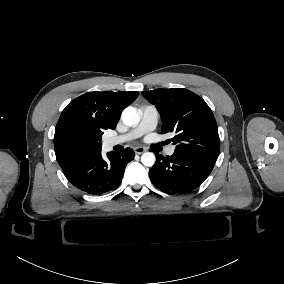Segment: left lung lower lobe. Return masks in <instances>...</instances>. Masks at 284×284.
<instances>
[{
    "label": "left lung lower lobe",
    "mask_w": 284,
    "mask_h": 284,
    "mask_svg": "<svg viewBox=\"0 0 284 284\" xmlns=\"http://www.w3.org/2000/svg\"><path fill=\"white\" fill-rule=\"evenodd\" d=\"M149 170L151 182L168 193H187L197 188L211 173L214 162L197 155L174 152L163 157Z\"/></svg>",
    "instance_id": "1"
}]
</instances>
